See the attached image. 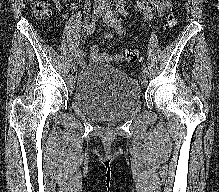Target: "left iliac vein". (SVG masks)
I'll return each mask as SVG.
<instances>
[{"mask_svg": "<svg viewBox=\"0 0 219 192\" xmlns=\"http://www.w3.org/2000/svg\"><path fill=\"white\" fill-rule=\"evenodd\" d=\"M103 22H104L105 26L114 28L119 33L118 25H119L120 21L117 18H115L111 14H107L103 17ZM141 78H142V84L146 85L147 78H148V71L147 70L142 69Z\"/></svg>", "mask_w": 219, "mask_h": 192, "instance_id": "4c4485c4", "label": "left iliac vein"}]
</instances>
